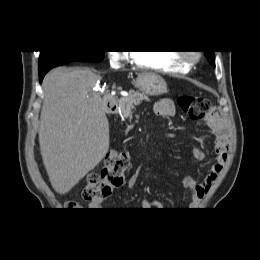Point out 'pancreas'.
Masks as SVG:
<instances>
[{
  "instance_id": "cf45deb5",
  "label": "pancreas",
  "mask_w": 260,
  "mask_h": 260,
  "mask_svg": "<svg viewBox=\"0 0 260 260\" xmlns=\"http://www.w3.org/2000/svg\"><path fill=\"white\" fill-rule=\"evenodd\" d=\"M142 101H150L149 98L139 92L130 91L126 97L119 99L120 113L124 119H132L133 110L135 106L139 105Z\"/></svg>"
}]
</instances>
